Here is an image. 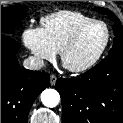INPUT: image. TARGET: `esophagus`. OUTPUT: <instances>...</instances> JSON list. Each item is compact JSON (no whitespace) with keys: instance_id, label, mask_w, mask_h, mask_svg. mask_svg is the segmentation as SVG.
Segmentation results:
<instances>
[{"instance_id":"obj_1","label":"esophagus","mask_w":123,"mask_h":123,"mask_svg":"<svg viewBox=\"0 0 123 123\" xmlns=\"http://www.w3.org/2000/svg\"><path fill=\"white\" fill-rule=\"evenodd\" d=\"M56 81H57V77L54 74H52L50 76V84L54 86L56 84Z\"/></svg>"}]
</instances>
